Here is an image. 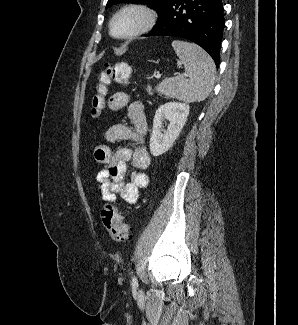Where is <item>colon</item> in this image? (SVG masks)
Returning <instances> with one entry per match:
<instances>
[{
  "label": "colon",
  "instance_id": "colon-1",
  "mask_svg": "<svg viewBox=\"0 0 298 325\" xmlns=\"http://www.w3.org/2000/svg\"><path fill=\"white\" fill-rule=\"evenodd\" d=\"M131 66L126 62L105 64L97 77L95 94L91 100V115L98 117L105 109V97L111 83L126 84L131 75ZM101 220L107 234L117 242H125L130 237L128 226L121 212L112 204H105L101 209Z\"/></svg>",
  "mask_w": 298,
  "mask_h": 325
}]
</instances>
